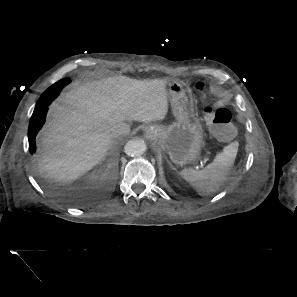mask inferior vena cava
Returning <instances> with one entry per match:
<instances>
[{
	"instance_id": "inferior-vena-cava-1",
	"label": "inferior vena cava",
	"mask_w": 297,
	"mask_h": 297,
	"mask_svg": "<svg viewBox=\"0 0 297 297\" xmlns=\"http://www.w3.org/2000/svg\"><path fill=\"white\" fill-rule=\"evenodd\" d=\"M130 132V126L126 123H119L113 126L112 133L115 136L128 134Z\"/></svg>"
}]
</instances>
